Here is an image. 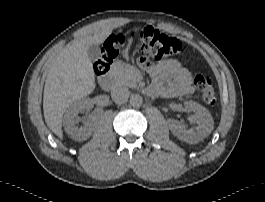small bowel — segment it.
Segmentation results:
<instances>
[{
	"label": "small bowel",
	"instance_id": "obj_1",
	"mask_svg": "<svg viewBox=\"0 0 265 202\" xmlns=\"http://www.w3.org/2000/svg\"><path fill=\"white\" fill-rule=\"evenodd\" d=\"M140 65L152 78L149 95L177 97L194 91L190 70L175 59Z\"/></svg>",
	"mask_w": 265,
	"mask_h": 202
}]
</instances>
